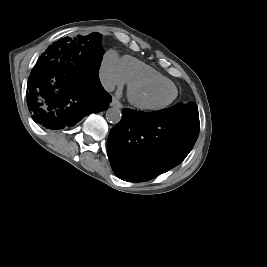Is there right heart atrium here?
Listing matches in <instances>:
<instances>
[{
  "label": "right heart atrium",
  "mask_w": 267,
  "mask_h": 267,
  "mask_svg": "<svg viewBox=\"0 0 267 267\" xmlns=\"http://www.w3.org/2000/svg\"><path fill=\"white\" fill-rule=\"evenodd\" d=\"M99 76L107 90L122 87L125 84L121 60L114 51H109L105 54L100 66Z\"/></svg>",
  "instance_id": "obj_1"
}]
</instances>
